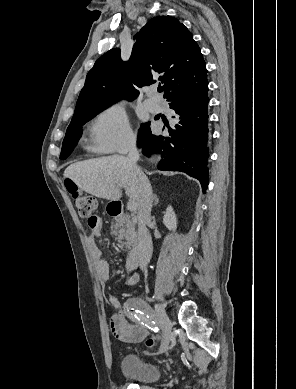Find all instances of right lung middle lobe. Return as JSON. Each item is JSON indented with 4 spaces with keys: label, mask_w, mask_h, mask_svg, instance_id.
<instances>
[{
    "label": "right lung middle lobe",
    "mask_w": 296,
    "mask_h": 389,
    "mask_svg": "<svg viewBox=\"0 0 296 389\" xmlns=\"http://www.w3.org/2000/svg\"><path fill=\"white\" fill-rule=\"evenodd\" d=\"M106 107L108 106L88 108L80 112L79 114L73 116L72 121L67 128V132L62 144L60 158L65 159L73 151L74 146L76 145L78 139L81 137L82 134V131L79 128L83 126L87 121L95 117ZM150 130L151 129L148 124H143L141 126L138 133L139 144H143V142L148 138Z\"/></svg>",
    "instance_id": "1"
}]
</instances>
